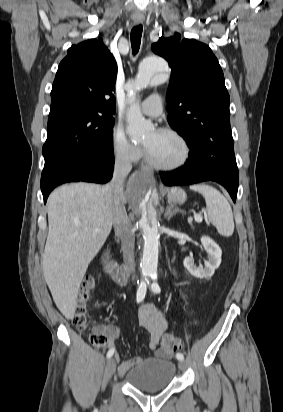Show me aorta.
Wrapping results in <instances>:
<instances>
[{
	"instance_id": "aorta-1",
	"label": "aorta",
	"mask_w": 283,
	"mask_h": 412,
	"mask_svg": "<svg viewBox=\"0 0 283 412\" xmlns=\"http://www.w3.org/2000/svg\"><path fill=\"white\" fill-rule=\"evenodd\" d=\"M168 64L160 57H152L144 60L136 76L131 79L126 89L128 92L129 108L127 112V133L132 140L141 139L152 129V124L147 122L140 110L136 93L148 85H158L166 81ZM153 189L150 175L137 173L129 183V193L132 197L141 200L143 210L140 227L143 232L144 248L141 261V271L144 276H154L157 273L159 232L158 228L151 226L147 219L146 201Z\"/></svg>"
}]
</instances>
